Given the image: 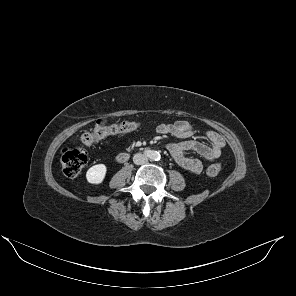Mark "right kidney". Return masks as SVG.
<instances>
[{"instance_id":"obj_1","label":"right kidney","mask_w":296,"mask_h":296,"mask_svg":"<svg viewBox=\"0 0 296 296\" xmlns=\"http://www.w3.org/2000/svg\"><path fill=\"white\" fill-rule=\"evenodd\" d=\"M107 172V167L104 164H97L88 169L86 179L91 184H100L103 182Z\"/></svg>"}]
</instances>
